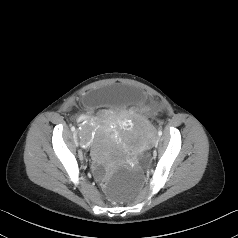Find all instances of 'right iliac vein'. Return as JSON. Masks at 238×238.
I'll return each instance as SVG.
<instances>
[{
	"mask_svg": "<svg viewBox=\"0 0 238 238\" xmlns=\"http://www.w3.org/2000/svg\"><path fill=\"white\" fill-rule=\"evenodd\" d=\"M76 135H77V131H75L74 134H73V141H74L75 147H79V144H78V142H77Z\"/></svg>",
	"mask_w": 238,
	"mask_h": 238,
	"instance_id": "obj_1",
	"label": "right iliac vein"
}]
</instances>
